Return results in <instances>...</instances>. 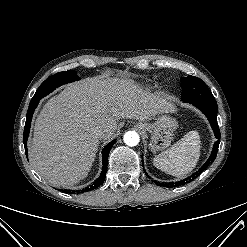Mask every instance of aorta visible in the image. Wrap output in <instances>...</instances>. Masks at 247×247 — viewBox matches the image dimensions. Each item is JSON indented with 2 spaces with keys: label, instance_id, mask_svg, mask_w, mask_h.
Here are the masks:
<instances>
[{
  "label": "aorta",
  "instance_id": "obj_1",
  "mask_svg": "<svg viewBox=\"0 0 247 247\" xmlns=\"http://www.w3.org/2000/svg\"><path fill=\"white\" fill-rule=\"evenodd\" d=\"M124 143L128 146H136L139 141V135L135 131H128L124 134Z\"/></svg>",
  "mask_w": 247,
  "mask_h": 247
}]
</instances>
